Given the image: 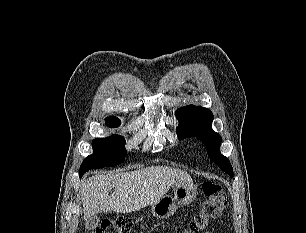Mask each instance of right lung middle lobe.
I'll list each match as a JSON object with an SVG mask.
<instances>
[{
	"label": "right lung middle lobe",
	"instance_id": "right-lung-middle-lobe-1",
	"mask_svg": "<svg viewBox=\"0 0 306 233\" xmlns=\"http://www.w3.org/2000/svg\"><path fill=\"white\" fill-rule=\"evenodd\" d=\"M108 127H118L121 121L116 117H107L105 121ZM93 154L86 157L80 166V178L90 170L108 167L124 161L125 139L120 135H112L108 138H97L92 142Z\"/></svg>",
	"mask_w": 306,
	"mask_h": 233
}]
</instances>
